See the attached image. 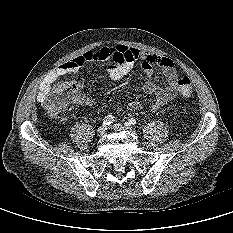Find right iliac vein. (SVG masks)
Returning <instances> with one entry per match:
<instances>
[{
    "instance_id": "1",
    "label": "right iliac vein",
    "mask_w": 233,
    "mask_h": 233,
    "mask_svg": "<svg viewBox=\"0 0 233 233\" xmlns=\"http://www.w3.org/2000/svg\"><path fill=\"white\" fill-rule=\"evenodd\" d=\"M105 132H106V127L105 126H101L97 130V133H98L99 136H103L105 134Z\"/></svg>"
}]
</instances>
